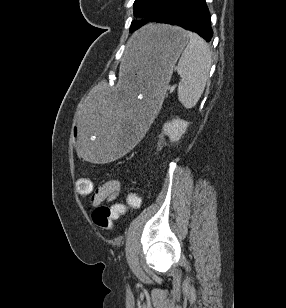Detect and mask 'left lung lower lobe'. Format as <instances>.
<instances>
[{
  "label": "left lung lower lobe",
  "instance_id": "left-lung-lower-lobe-1",
  "mask_svg": "<svg viewBox=\"0 0 286 308\" xmlns=\"http://www.w3.org/2000/svg\"><path fill=\"white\" fill-rule=\"evenodd\" d=\"M156 22L181 26L196 32L207 42L213 36L210 14L205 0H172Z\"/></svg>",
  "mask_w": 286,
  "mask_h": 308
}]
</instances>
